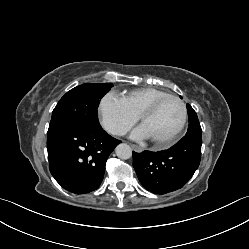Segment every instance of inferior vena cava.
I'll return each mask as SVG.
<instances>
[{
  "label": "inferior vena cava",
  "instance_id": "obj_1",
  "mask_svg": "<svg viewBox=\"0 0 249 249\" xmlns=\"http://www.w3.org/2000/svg\"><path fill=\"white\" fill-rule=\"evenodd\" d=\"M117 134L124 135L126 132L124 130H116Z\"/></svg>",
  "mask_w": 249,
  "mask_h": 249
}]
</instances>
